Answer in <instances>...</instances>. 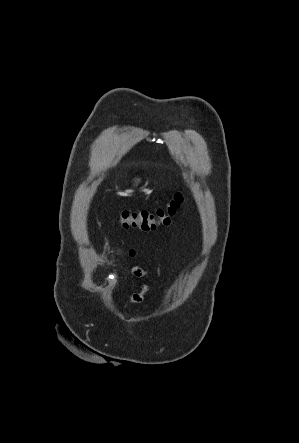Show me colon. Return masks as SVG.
<instances>
[{"label": "colon", "mask_w": 299, "mask_h": 443, "mask_svg": "<svg viewBox=\"0 0 299 443\" xmlns=\"http://www.w3.org/2000/svg\"><path fill=\"white\" fill-rule=\"evenodd\" d=\"M183 201L181 193H175L165 205L155 211L140 210L121 212L119 217L120 225L123 228H135L142 231H154L159 226L170 223L171 218L176 213Z\"/></svg>", "instance_id": "colon-1"}]
</instances>
